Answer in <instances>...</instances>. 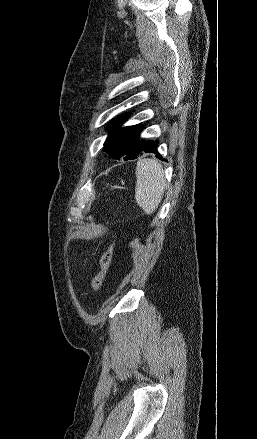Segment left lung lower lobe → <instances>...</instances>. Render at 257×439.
Here are the masks:
<instances>
[{"label":"left lung lower lobe","mask_w":257,"mask_h":439,"mask_svg":"<svg viewBox=\"0 0 257 439\" xmlns=\"http://www.w3.org/2000/svg\"><path fill=\"white\" fill-rule=\"evenodd\" d=\"M157 145L158 144L156 141H145V140L141 139V140H139L135 149L129 155L125 156L123 159L125 161L126 160H133V159H136L137 157L145 155L147 153H158ZM156 157L164 160L160 154L156 155Z\"/></svg>","instance_id":"left-lung-lower-lobe-1"}]
</instances>
